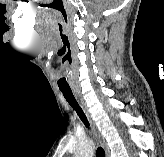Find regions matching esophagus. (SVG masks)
<instances>
[{"label": "esophagus", "mask_w": 164, "mask_h": 157, "mask_svg": "<svg viewBox=\"0 0 164 157\" xmlns=\"http://www.w3.org/2000/svg\"><path fill=\"white\" fill-rule=\"evenodd\" d=\"M77 98L79 99V102H80V105L83 109V111L85 112L90 124H91V127H92V131L94 133V135L96 136V138L99 140L100 144L102 145V147L104 148L105 150V157H109V149L107 147V144L105 142V139L104 137L102 136V134L100 133V131L98 130L97 126L95 125L91 115H90V112L88 110V107L86 106V103L84 102V100L82 99L81 97V94L78 90H75L74 91Z\"/></svg>", "instance_id": "obj_1"}]
</instances>
